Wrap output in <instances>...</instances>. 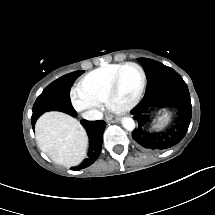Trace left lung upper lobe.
Wrapping results in <instances>:
<instances>
[{"mask_svg": "<svg viewBox=\"0 0 215 215\" xmlns=\"http://www.w3.org/2000/svg\"><path fill=\"white\" fill-rule=\"evenodd\" d=\"M147 76L145 96L133 111L138 128L132 132L133 139L144 149L164 150L178 144L186 135L192 115L191 100L186 83L181 76L157 61L139 58ZM152 106L174 107L182 114V122L176 130L164 136L147 133L143 128L144 113Z\"/></svg>", "mask_w": 215, "mask_h": 215, "instance_id": "obj_1", "label": "left lung upper lobe"}]
</instances>
